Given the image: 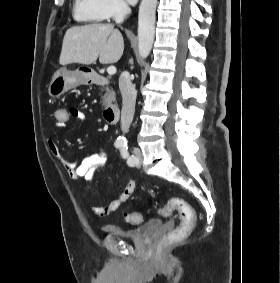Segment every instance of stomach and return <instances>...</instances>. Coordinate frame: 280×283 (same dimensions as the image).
Masks as SVG:
<instances>
[{
    "label": "stomach",
    "instance_id": "obj_1",
    "mask_svg": "<svg viewBox=\"0 0 280 283\" xmlns=\"http://www.w3.org/2000/svg\"><path fill=\"white\" fill-rule=\"evenodd\" d=\"M91 82V73L88 69L78 68L75 71L62 67L55 71L48 86V94L56 99L68 90L80 85H89Z\"/></svg>",
    "mask_w": 280,
    "mask_h": 283
}]
</instances>
